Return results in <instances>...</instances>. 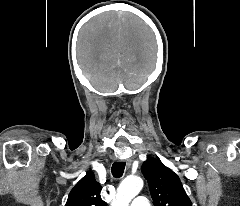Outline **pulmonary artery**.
<instances>
[{"label":"pulmonary artery","instance_id":"1","mask_svg":"<svg viewBox=\"0 0 240 206\" xmlns=\"http://www.w3.org/2000/svg\"><path fill=\"white\" fill-rule=\"evenodd\" d=\"M130 206H150L148 199L144 196L136 197Z\"/></svg>","mask_w":240,"mask_h":206}]
</instances>
